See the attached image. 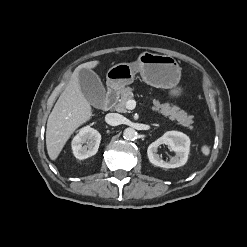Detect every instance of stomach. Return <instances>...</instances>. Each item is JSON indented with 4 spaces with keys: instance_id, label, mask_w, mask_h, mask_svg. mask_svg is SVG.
Here are the masks:
<instances>
[{
    "instance_id": "obj_1",
    "label": "stomach",
    "mask_w": 247,
    "mask_h": 247,
    "mask_svg": "<svg viewBox=\"0 0 247 247\" xmlns=\"http://www.w3.org/2000/svg\"><path fill=\"white\" fill-rule=\"evenodd\" d=\"M136 73L143 81L156 88L170 89V96L179 97L181 88L177 87L181 78V68L170 55L143 52L134 63H119L111 67L106 75L111 89L121 90L131 84Z\"/></svg>"
}]
</instances>
